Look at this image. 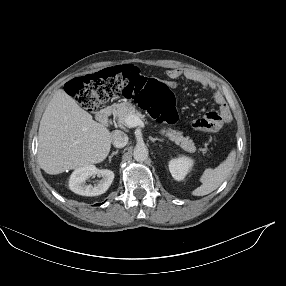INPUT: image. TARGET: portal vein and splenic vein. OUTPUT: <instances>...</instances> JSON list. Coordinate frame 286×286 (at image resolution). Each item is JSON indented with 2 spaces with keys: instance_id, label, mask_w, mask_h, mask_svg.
Instances as JSON below:
<instances>
[{
  "instance_id": "18ae733b",
  "label": "portal vein and splenic vein",
  "mask_w": 286,
  "mask_h": 286,
  "mask_svg": "<svg viewBox=\"0 0 286 286\" xmlns=\"http://www.w3.org/2000/svg\"><path fill=\"white\" fill-rule=\"evenodd\" d=\"M126 125L128 127H144V122L135 114H131L126 119Z\"/></svg>"
}]
</instances>
